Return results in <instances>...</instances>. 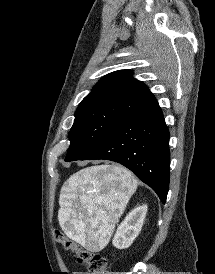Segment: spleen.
Listing matches in <instances>:
<instances>
[{
    "label": "spleen",
    "instance_id": "obj_1",
    "mask_svg": "<svg viewBox=\"0 0 215 274\" xmlns=\"http://www.w3.org/2000/svg\"><path fill=\"white\" fill-rule=\"evenodd\" d=\"M137 185L133 174L118 166H94L71 175L59 198L60 225L87 247L94 240L106 243Z\"/></svg>",
    "mask_w": 215,
    "mask_h": 274
}]
</instances>
